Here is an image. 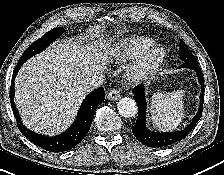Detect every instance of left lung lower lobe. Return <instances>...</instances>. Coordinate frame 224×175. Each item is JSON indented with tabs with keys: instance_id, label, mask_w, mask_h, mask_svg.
<instances>
[{
	"instance_id": "0a47b994",
	"label": "left lung lower lobe",
	"mask_w": 224,
	"mask_h": 175,
	"mask_svg": "<svg viewBox=\"0 0 224 175\" xmlns=\"http://www.w3.org/2000/svg\"><path fill=\"white\" fill-rule=\"evenodd\" d=\"M187 67L195 70L198 76L199 83L202 87V92L200 95V106L197 114L193 117L191 123L183 130L177 132H154L146 127V100H145V90L143 85H139L134 88L133 94L134 99L138 105V117L135 125L132 128L133 135L140 141L143 145L148 147H165L176 143L184 139L195 124L199 121L202 115L203 100H204V79L200 67L197 63H187L184 62L179 68Z\"/></svg>"
}]
</instances>
